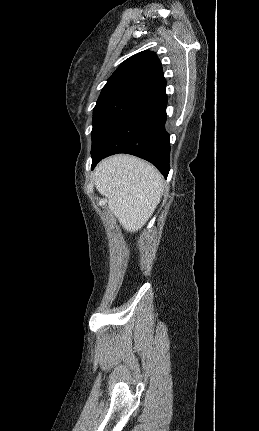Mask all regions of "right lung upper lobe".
I'll return each instance as SVG.
<instances>
[{"label": "right lung upper lobe", "instance_id": "obj_1", "mask_svg": "<svg viewBox=\"0 0 259 431\" xmlns=\"http://www.w3.org/2000/svg\"><path fill=\"white\" fill-rule=\"evenodd\" d=\"M138 82L152 92L166 86L162 65L152 51H142L126 59L111 75L102 91Z\"/></svg>", "mask_w": 259, "mask_h": 431}]
</instances>
